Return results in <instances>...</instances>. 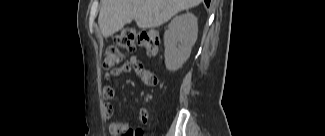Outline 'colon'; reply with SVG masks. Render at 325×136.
<instances>
[{
  "label": "colon",
  "mask_w": 325,
  "mask_h": 136,
  "mask_svg": "<svg viewBox=\"0 0 325 136\" xmlns=\"http://www.w3.org/2000/svg\"><path fill=\"white\" fill-rule=\"evenodd\" d=\"M140 46L150 56H156L160 49V36L157 31L135 29H124L115 35L113 43L107 47L104 53L103 67L110 69L121 62L122 51L133 52ZM123 136H143L140 129L130 128Z\"/></svg>",
  "instance_id": "colon-1"
}]
</instances>
